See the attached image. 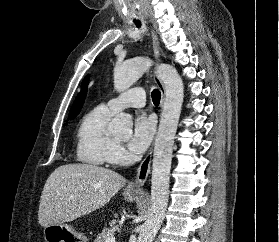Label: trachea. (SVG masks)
I'll list each match as a JSON object with an SVG mask.
<instances>
[{
  "mask_svg": "<svg viewBox=\"0 0 279 242\" xmlns=\"http://www.w3.org/2000/svg\"><path fill=\"white\" fill-rule=\"evenodd\" d=\"M136 26L141 27V22H135ZM161 99V92L157 89L152 91V100L155 105H159Z\"/></svg>",
  "mask_w": 279,
  "mask_h": 242,
  "instance_id": "1",
  "label": "trachea"
}]
</instances>
